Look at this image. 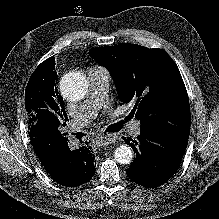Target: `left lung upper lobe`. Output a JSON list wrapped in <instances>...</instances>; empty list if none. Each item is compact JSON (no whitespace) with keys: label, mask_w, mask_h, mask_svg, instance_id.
<instances>
[{"label":"left lung upper lobe","mask_w":219,"mask_h":219,"mask_svg":"<svg viewBox=\"0 0 219 219\" xmlns=\"http://www.w3.org/2000/svg\"><path fill=\"white\" fill-rule=\"evenodd\" d=\"M89 55L110 71L122 102L134 104L131 114L140 120L141 132L189 139L187 91L175 62L164 50L122 43L93 48Z\"/></svg>","instance_id":"obj_1"}]
</instances>
